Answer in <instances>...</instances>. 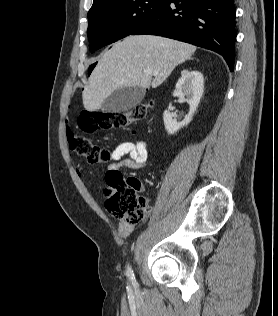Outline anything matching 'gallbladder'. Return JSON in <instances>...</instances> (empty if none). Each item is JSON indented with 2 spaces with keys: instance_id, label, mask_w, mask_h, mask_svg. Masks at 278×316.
<instances>
[{
  "instance_id": "1",
  "label": "gallbladder",
  "mask_w": 278,
  "mask_h": 316,
  "mask_svg": "<svg viewBox=\"0 0 278 316\" xmlns=\"http://www.w3.org/2000/svg\"><path fill=\"white\" fill-rule=\"evenodd\" d=\"M144 96L145 89L141 87H122L104 100L101 109L106 113L127 112L139 105Z\"/></svg>"
}]
</instances>
